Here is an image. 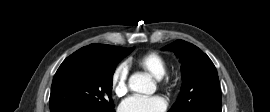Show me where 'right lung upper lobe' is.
Masks as SVG:
<instances>
[{
	"label": "right lung upper lobe",
	"mask_w": 270,
	"mask_h": 112,
	"mask_svg": "<svg viewBox=\"0 0 270 112\" xmlns=\"http://www.w3.org/2000/svg\"><path fill=\"white\" fill-rule=\"evenodd\" d=\"M103 45L105 44H91L89 46L79 49L78 51L96 50V49L101 48Z\"/></svg>",
	"instance_id": "right-lung-upper-lobe-1"
}]
</instances>
